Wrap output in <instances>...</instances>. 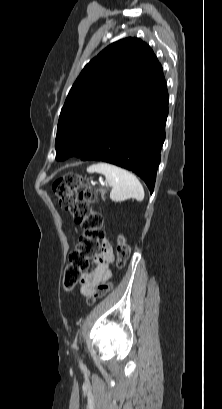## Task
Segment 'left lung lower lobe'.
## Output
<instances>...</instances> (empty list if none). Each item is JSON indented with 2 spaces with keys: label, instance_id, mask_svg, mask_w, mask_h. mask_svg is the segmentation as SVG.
Listing matches in <instances>:
<instances>
[{
  "label": "left lung lower lobe",
  "instance_id": "1",
  "mask_svg": "<svg viewBox=\"0 0 222 409\" xmlns=\"http://www.w3.org/2000/svg\"><path fill=\"white\" fill-rule=\"evenodd\" d=\"M168 101L164 83L149 96L127 102L96 134L81 160L128 169L141 177L152 193L165 139Z\"/></svg>",
  "mask_w": 222,
  "mask_h": 409
}]
</instances>
